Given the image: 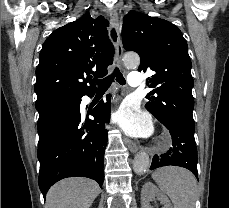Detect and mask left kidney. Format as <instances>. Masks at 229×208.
Returning <instances> with one entry per match:
<instances>
[{
    "instance_id": "obj_1",
    "label": "left kidney",
    "mask_w": 229,
    "mask_h": 208,
    "mask_svg": "<svg viewBox=\"0 0 229 208\" xmlns=\"http://www.w3.org/2000/svg\"><path fill=\"white\" fill-rule=\"evenodd\" d=\"M154 198H157L160 204H164V208H172L167 196L161 190H158L152 182H146L141 190L142 208H152V206H149V202Z\"/></svg>"
}]
</instances>
